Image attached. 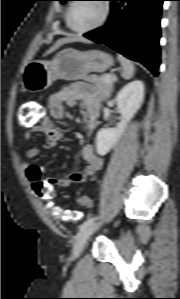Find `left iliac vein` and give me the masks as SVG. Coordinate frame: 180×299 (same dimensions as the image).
<instances>
[{
    "label": "left iliac vein",
    "mask_w": 180,
    "mask_h": 299,
    "mask_svg": "<svg viewBox=\"0 0 180 299\" xmlns=\"http://www.w3.org/2000/svg\"><path fill=\"white\" fill-rule=\"evenodd\" d=\"M98 227H99L98 224L93 223L88 227H86L85 229H83L82 231H80V233L78 234L75 240L73 250H72V257L74 259L78 258L81 255L87 240L98 229Z\"/></svg>",
    "instance_id": "left-iliac-vein-1"
}]
</instances>
